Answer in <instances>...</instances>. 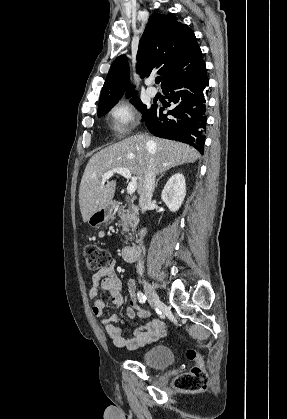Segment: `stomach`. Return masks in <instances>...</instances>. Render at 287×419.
Returning a JSON list of instances; mask_svg holds the SVG:
<instances>
[{"label": "stomach", "instance_id": "0dacf381", "mask_svg": "<svg viewBox=\"0 0 287 419\" xmlns=\"http://www.w3.org/2000/svg\"><path fill=\"white\" fill-rule=\"evenodd\" d=\"M112 217H113V206L109 204L105 208H102L96 211L95 213H93L90 216L88 223L91 226L97 227L103 223L108 222Z\"/></svg>", "mask_w": 287, "mask_h": 419}]
</instances>
